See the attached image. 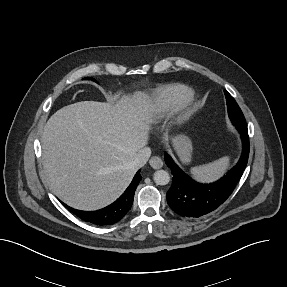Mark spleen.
<instances>
[{
	"mask_svg": "<svg viewBox=\"0 0 287 287\" xmlns=\"http://www.w3.org/2000/svg\"><path fill=\"white\" fill-rule=\"evenodd\" d=\"M229 157L225 156L214 162L193 167L192 176L202 182H211L221 177L229 166Z\"/></svg>",
	"mask_w": 287,
	"mask_h": 287,
	"instance_id": "obj_1",
	"label": "spleen"
}]
</instances>
